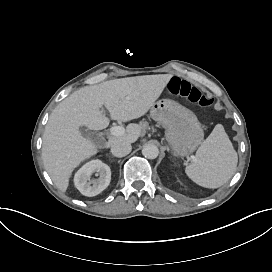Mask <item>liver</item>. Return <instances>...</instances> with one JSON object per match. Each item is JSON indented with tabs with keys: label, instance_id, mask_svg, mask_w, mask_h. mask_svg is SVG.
Returning <instances> with one entry per match:
<instances>
[{
	"label": "liver",
	"instance_id": "1",
	"mask_svg": "<svg viewBox=\"0 0 272 272\" xmlns=\"http://www.w3.org/2000/svg\"><path fill=\"white\" fill-rule=\"evenodd\" d=\"M172 78L158 74L114 79L83 87L61 101L49 116L42 147L44 167L57 188L66 192L75 168L100 152L81 127L106 128L109 119L100 112L102 106L120 122L139 119L149 112ZM142 133V126L128 124L125 134L109 137L104 149L116 142L135 143Z\"/></svg>",
	"mask_w": 272,
	"mask_h": 272
}]
</instances>
